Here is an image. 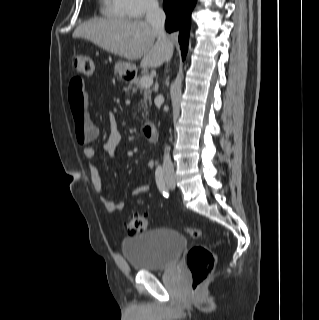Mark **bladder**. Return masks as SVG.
<instances>
[{"label":"bladder","mask_w":319,"mask_h":320,"mask_svg":"<svg viewBox=\"0 0 319 320\" xmlns=\"http://www.w3.org/2000/svg\"><path fill=\"white\" fill-rule=\"evenodd\" d=\"M187 247L185 236L178 230L158 228L125 238L122 253L136 271H161L170 268Z\"/></svg>","instance_id":"bladder-1"}]
</instances>
